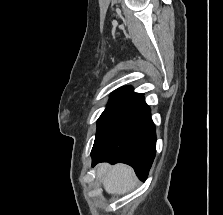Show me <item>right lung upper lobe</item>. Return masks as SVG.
<instances>
[{
    "label": "right lung upper lobe",
    "instance_id": "right-lung-upper-lobe-1",
    "mask_svg": "<svg viewBox=\"0 0 223 215\" xmlns=\"http://www.w3.org/2000/svg\"><path fill=\"white\" fill-rule=\"evenodd\" d=\"M117 92H126V93H130V94H135V95H141V96H143L142 94L133 93L131 87H123V88H120V89H118V90H117L116 92H114V93H117Z\"/></svg>",
    "mask_w": 223,
    "mask_h": 215
}]
</instances>
